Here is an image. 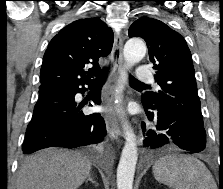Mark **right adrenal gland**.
I'll return each mask as SVG.
<instances>
[{"label": "right adrenal gland", "mask_w": 223, "mask_h": 189, "mask_svg": "<svg viewBox=\"0 0 223 189\" xmlns=\"http://www.w3.org/2000/svg\"><path fill=\"white\" fill-rule=\"evenodd\" d=\"M88 181H90V182H92V183H94V184H97V183L92 179L91 174L88 175V178H87L86 182H88Z\"/></svg>", "instance_id": "1"}]
</instances>
